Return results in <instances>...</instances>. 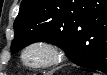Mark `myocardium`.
<instances>
[{
  "label": "myocardium",
  "mask_w": 107,
  "mask_h": 75,
  "mask_svg": "<svg viewBox=\"0 0 107 75\" xmlns=\"http://www.w3.org/2000/svg\"><path fill=\"white\" fill-rule=\"evenodd\" d=\"M36 50L44 52L47 55V59L40 63L29 62L27 59L28 54ZM65 58L66 53L61 46H59L55 42L45 39H38L29 42L22 48L20 53V59L22 63L26 67L34 70L56 66L62 63L65 60Z\"/></svg>",
  "instance_id": "f54148a6"
}]
</instances>
